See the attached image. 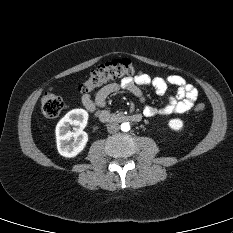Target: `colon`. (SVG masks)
<instances>
[{
  "mask_svg": "<svg viewBox=\"0 0 233 233\" xmlns=\"http://www.w3.org/2000/svg\"><path fill=\"white\" fill-rule=\"evenodd\" d=\"M137 73V67L129 59H116L93 70L80 85L82 94H88L94 89L123 77ZM42 114L47 118L57 117L64 107L63 100L52 92H45L40 100ZM205 109L204 103H198L194 107L195 112L200 113Z\"/></svg>",
  "mask_w": 233,
  "mask_h": 233,
  "instance_id": "5ec220e1",
  "label": "colon"
}]
</instances>
